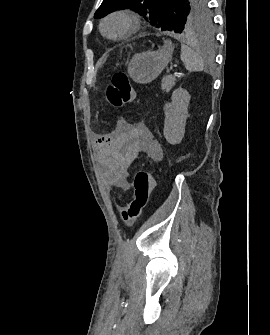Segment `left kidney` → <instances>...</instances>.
<instances>
[{
	"mask_svg": "<svg viewBox=\"0 0 270 335\" xmlns=\"http://www.w3.org/2000/svg\"><path fill=\"white\" fill-rule=\"evenodd\" d=\"M171 104L165 112L164 138L168 144H180L185 134L186 120L188 118V104L190 94L183 88H177L172 94Z\"/></svg>",
	"mask_w": 270,
	"mask_h": 335,
	"instance_id": "left-kidney-1",
	"label": "left kidney"
}]
</instances>
